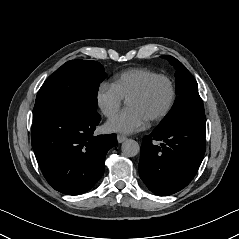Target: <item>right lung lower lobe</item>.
<instances>
[{"instance_id": "98d812e1", "label": "right lung lower lobe", "mask_w": 239, "mask_h": 239, "mask_svg": "<svg viewBox=\"0 0 239 239\" xmlns=\"http://www.w3.org/2000/svg\"><path fill=\"white\" fill-rule=\"evenodd\" d=\"M100 119L97 112L62 106L34 121L32 148L55 190L67 195L85 193L103 175L106 153L117 138L115 134H93Z\"/></svg>"}]
</instances>
